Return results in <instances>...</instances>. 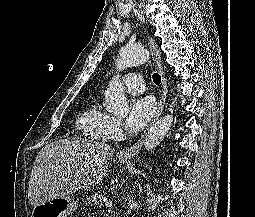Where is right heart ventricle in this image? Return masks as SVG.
<instances>
[{
    "mask_svg": "<svg viewBox=\"0 0 255 217\" xmlns=\"http://www.w3.org/2000/svg\"><path fill=\"white\" fill-rule=\"evenodd\" d=\"M111 116L93 100L80 114L77 126L84 136L89 139L103 141L108 135V123Z\"/></svg>",
    "mask_w": 255,
    "mask_h": 217,
    "instance_id": "obj_1",
    "label": "right heart ventricle"
}]
</instances>
